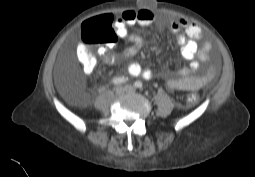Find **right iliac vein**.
Segmentation results:
<instances>
[{"instance_id":"obj_1","label":"right iliac vein","mask_w":255,"mask_h":177,"mask_svg":"<svg viewBox=\"0 0 255 177\" xmlns=\"http://www.w3.org/2000/svg\"><path fill=\"white\" fill-rule=\"evenodd\" d=\"M127 92V88L126 87H123V86H118L116 89H115V94L117 96H121L123 94H125Z\"/></svg>"}]
</instances>
